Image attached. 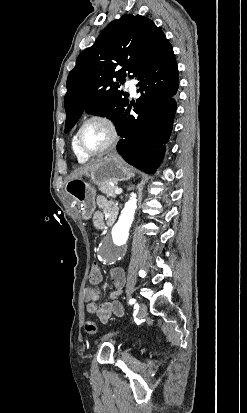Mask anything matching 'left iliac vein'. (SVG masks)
Instances as JSON below:
<instances>
[{
    "mask_svg": "<svg viewBox=\"0 0 247 413\" xmlns=\"http://www.w3.org/2000/svg\"><path fill=\"white\" fill-rule=\"evenodd\" d=\"M146 311H147L146 305H145L144 303H141V304L139 305V309H138V317H139V318H142V317L146 314ZM117 333H118L117 331L107 333V334L103 335L100 339H98L97 342H98V343H101V342H103V341H105V340H108L109 338H111L112 336L116 335Z\"/></svg>",
    "mask_w": 247,
    "mask_h": 413,
    "instance_id": "left-iliac-vein-1",
    "label": "left iliac vein"
}]
</instances>
